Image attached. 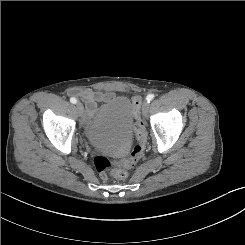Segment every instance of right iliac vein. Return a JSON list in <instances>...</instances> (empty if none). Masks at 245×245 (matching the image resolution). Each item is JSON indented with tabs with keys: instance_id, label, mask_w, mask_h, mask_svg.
<instances>
[{
	"instance_id": "obj_1",
	"label": "right iliac vein",
	"mask_w": 245,
	"mask_h": 245,
	"mask_svg": "<svg viewBox=\"0 0 245 245\" xmlns=\"http://www.w3.org/2000/svg\"><path fill=\"white\" fill-rule=\"evenodd\" d=\"M76 108L78 110L79 115L82 116L83 113H84V107H83L82 103L81 102H77L76 103Z\"/></svg>"
}]
</instances>
